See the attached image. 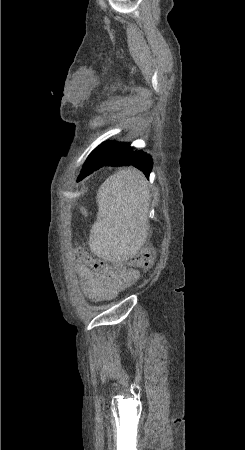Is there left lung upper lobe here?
<instances>
[{
    "label": "left lung upper lobe",
    "instance_id": "5c2ea615",
    "mask_svg": "<svg viewBox=\"0 0 245 450\" xmlns=\"http://www.w3.org/2000/svg\"><path fill=\"white\" fill-rule=\"evenodd\" d=\"M120 145L121 144H115L113 142H109V143H106L103 147L117 148ZM122 145H124V144H122ZM97 162H98V154H96V151L94 150V151L91 152V154L87 158V160H86V162H85L81 172H84L89 167L94 166Z\"/></svg>",
    "mask_w": 245,
    "mask_h": 450
}]
</instances>
